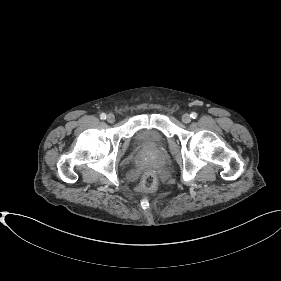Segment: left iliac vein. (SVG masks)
<instances>
[{"label":"left iliac vein","instance_id":"1","mask_svg":"<svg viewBox=\"0 0 281 281\" xmlns=\"http://www.w3.org/2000/svg\"><path fill=\"white\" fill-rule=\"evenodd\" d=\"M182 121L184 122V123H190V121H191V117H190V115L189 114H187V113H185V114H183V116H182Z\"/></svg>","mask_w":281,"mask_h":281}]
</instances>
